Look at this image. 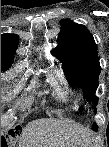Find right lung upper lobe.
<instances>
[{
    "label": "right lung upper lobe",
    "mask_w": 109,
    "mask_h": 147,
    "mask_svg": "<svg viewBox=\"0 0 109 147\" xmlns=\"http://www.w3.org/2000/svg\"><path fill=\"white\" fill-rule=\"evenodd\" d=\"M16 34L1 35V68L8 69L13 63V57L18 46Z\"/></svg>",
    "instance_id": "right-lung-upper-lobe-1"
}]
</instances>
